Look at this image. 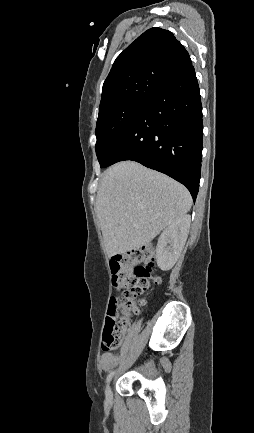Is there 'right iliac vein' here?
<instances>
[{
	"label": "right iliac vein",
	"instance_id": "1",
	"mask_svg": "<svg viewBox=\"0 0 254 433\" xmlns=\"http://www.w3.org/2000/svg\"><path fill=\"white\" fill-rule=\"evenodd\" d=\"M105 396H106L107 402H111L112 394H111V385L110 384H108L106 387Z\"/></svg>",
	"mask_w": 254,
	"mask_h": 433
}]
</instances>
